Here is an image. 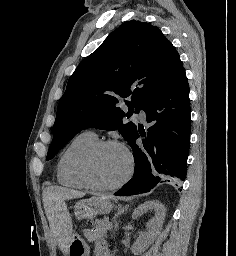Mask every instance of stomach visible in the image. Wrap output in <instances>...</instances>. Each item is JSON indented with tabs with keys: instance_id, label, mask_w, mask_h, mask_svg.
I'll return each instance as SVG.
<instances>
[{
	"instance_id": "obj_1",
	"label": "stomach",
	"mask_w": 236,
	"mask_h": 256,
	"mask_svg": "<svg viewBox=\"0 0 236 256\" xmlns=\"http://www.w3.org/2000/svg\"><path fill=\"white\" fill-rule=\"evenodd\" d=\"M113 209L111 201L104 196L92 197L78 201L74 214L78 220L93 219L99 214H107ZM89 246L79 235H73L68 247L67 256H89Z\"/></svg>"
}]
</instances>
